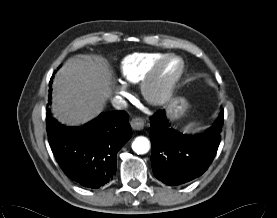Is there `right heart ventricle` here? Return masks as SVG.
I'll use <instances>...</instances> for the list:
<instances>
[{
	"instance_id": "1",
	"label": "right heart ventricle",
	"mask_w": 277,
	"mask_h": 218,
	"mask_svg": "<svg viewBox=\"0 0 277 218\" xmlns=\"http://www.w3.org/2000/svg\"><path fill=\"white\" fill-rule=\"evenodd\" d=\"M165 53L150 52V53H134L126 56L121 62V73L127 83L140 84L148 75L152 66Z\"/></svg>"
}]
</instances>
